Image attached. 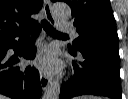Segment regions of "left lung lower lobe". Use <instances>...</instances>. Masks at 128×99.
<instances>
[{
	"label": "left lung lower lobe",
	"instance_id": "left-lung-lower-lobe-1",
	"mask_svg": "<svg viewBox=\"0 0 128 99\" xmlns=\"http://www.w3.org/2000/svg\"><path fill=\"white\" fill-rule=\"evenodd\" d=\"M69 52L77 57V51ZM82 62H72L74 75L62 84L59 99L91 94L122 99L119 42L93 39L78 50Z\"/></svg>",
	"mask_w": 128,
	"mask_h": 99
}]
</instances>
